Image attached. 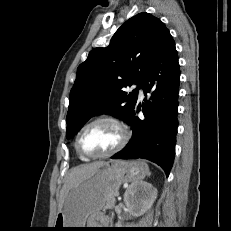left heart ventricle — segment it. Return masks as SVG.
Returning a JSON list of instances; mask_svg holds the SVG:
<instances>
[{
  "instance_id": "obj_1",
  "label": "left heart ventricle",
  "mask_w": 231,
  "mask_h": 231,
  "mask_svg": "<svg viewBox=\"0 0 231 231\" xmlns=\"http://www.w3.org/2000/svg\"><path fill=\"white\" fill-rule=\"evenodd\" d=\"M119 129L112 123L100 122L88 127L81 136L80 146L89 155L105 153L120 141Z\"/></svg>"
}]
</instances>
